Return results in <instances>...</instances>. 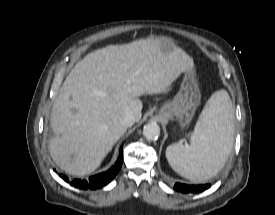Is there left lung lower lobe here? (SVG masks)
Wrapping results in <instances>:
<instances>
[{
	"label": "left lung lower lobe",
	"mask_w": 275,
	"mask_h": 215,
	"mask_svg": "<svg viewBox=\"0 0 275 215\" xmlns=\"http://www.w3.org/2000/svg\"><path fill=\"white\" fill-rule=\"evenodd\" d=\"M210 186V184L187 185L182 183H175L174 188L182 193H199L208 189Z\"/></svg>",
	"instance_id": "0a47b994"
}]
</instances>
